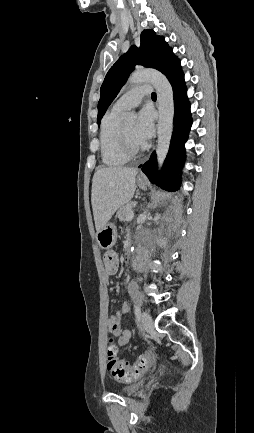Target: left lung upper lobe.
Masks as SVG:
<instances>
[{
  "instance_id": "left-lung-upper-lobe-1",
  "label": "left lung upper lobe",
  "mask_w": 254,
  "mask_h": 433,
  "mask_svg": "<svg viewBox=\"0 0 254 433\" xmlns=\"http://www.w3.org/2000/svg\"><path fill=\"white\" fill-rule=\"evenodd\" d=\"M140 39V47L132 46L126 54L122 55L115 62L106 74L100 89L98 124H100L102 116L117 96L129 74L134 70L135 65L141 64L145 67L155 68L164 74L177 59L164 38L156 35L153 30H144L141 33Z\"/></svg>"
}]
</instances>
